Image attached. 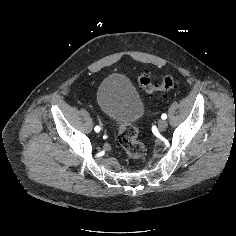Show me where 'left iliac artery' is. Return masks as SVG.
<instances>
[{"instance_id": "obj_1", "label": "left iliac artery", "mask_w": 236, "mask_h": 236, "mask_svg": "<svg viewBox=\"0 0 236 236\" xmlns=\"http://www.w3.org/2000/svg\"><path fill=\"white\" fill-rule=\"evenodd\" d=\"M161 118L165 120V119H167V115L164 113V114H162Z\"/></svg>"}]
</instances>
